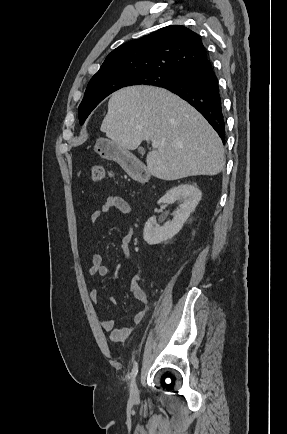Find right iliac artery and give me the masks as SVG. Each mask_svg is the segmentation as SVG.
I'll list each match as a JSON object with an SVG mask.
<instances>
[{
  "mask_svg": "<svg viewBox=\"0 0 287 434\" xmlns=\"http://www.w3.org/2000/svg\"><path fill=\"white\" fill-rule=\"evenodd\" d=\"M137 373H138V365L135 364L134 367H133V369H132V372H131V378H132V380H134V378L136 377Z\"/></svg>",
  "mask_w": 287,
  "mask_h": 434,
  "instance_id": "right-iliac-artery-1",
  "label": "right iliac artery"
}]
</instances>
